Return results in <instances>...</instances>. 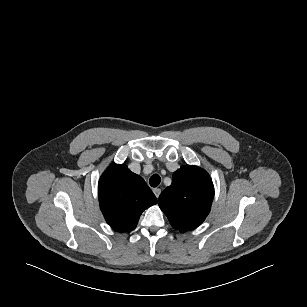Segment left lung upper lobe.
<instances>
[{"instance_id":"5c2ea615","label":"left lung upper lobe","mask_w":307,"mask_h":307,"mask_svg":"<svg viewBox=\"0 0 307 307\" xmlns=\"http://www.w3.org/2000/svg\"><path fill=\"white\" fill-rule=\"evenodd\" d=\"M214 187L209 174L197 166H182L158 204L172 227L185 232L198 227L210 212Z\"/></svg>"}]
</instances>
